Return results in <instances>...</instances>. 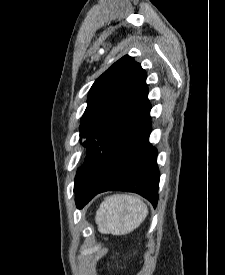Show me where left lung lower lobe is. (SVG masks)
Listing matches in <instances>:
<instances>
[{
  "label": "left lung lower lobe",
  "mask_w": 225,
  "mask_h": 275,
  "mask_svg": "<svg viewBox=\"0 0 225 275\" xmlns=\"http://www.w3.org/2000/svg\"><path fill=\"white\" fill-rule=\"evenodd\" d=\"M150 110L101 157L89 176L74 189L77 207H83L98 193L109 190L140 194L156 207L160 173L157 150L149 143Z\"/></svg>",
  "instance_id": "1"
}]
</instances>
